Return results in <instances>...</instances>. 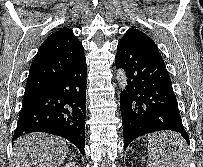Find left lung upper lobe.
<instances>
[{"label": "left lung upper lobe", "instance_id": "obj_1", "mask_svg": "<svg viewBox=\"0 0 203 167\" xmlns=\"http://www.w3.org/2000/svg\"><path fill=\"white\" fill-rule=\"evenodd\" d=\"M121 40L127 41L141 50L161 57V54L159 53L157 45L154 43V41L137 29L133 28L128 30Z\"/></svg>", "mask_w": 203, "mask_h": 167}]
</instances>
